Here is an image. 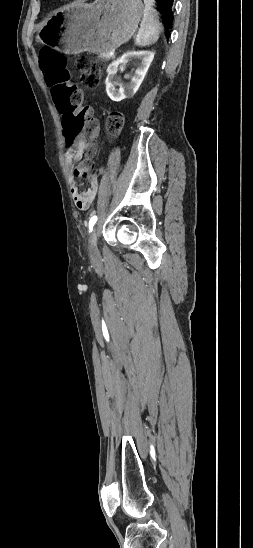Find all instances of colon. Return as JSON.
Wrapping results in <instances>:
<instances>
[{
  "mask_svg": "<svg viewBox=\"0 0 253 548\" xmlns=\"http://www.w3.org/2000/svg\"><path fill=\"white\" fill-rule=\"evenodd\" d=\"M41 72L48 83V95L53 99L57 110L62 114L60 119L61 135L66 139L82 137L89 139L85 149L86 157L77 165V172L86 177H97L91 159L93 148L91 142L97 136L99 125L92 117L91 111L83 104V93L76 88V81L71 77L68 61L50 48H42L39 53ZM74 65L79 73L81 86L93 88L98 85L102 75L103 64L86 56L77 57ZM122 113L113 112L109 115L106 128L109 134H118L123 126Z\"/></svg>",
  "mask_w": 253,
  "mask_h": 548,
  "instance_id": "obj_1",
  "label": "colon"
}]
</instances>
